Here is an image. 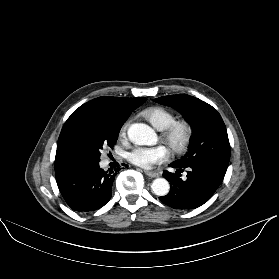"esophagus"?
<instances>
[{
    "label": "esophagus",
    "instance_id": "1",
    "mask_svg": "<svg viewBox=\"0 0 279 279\" xmlns=\"http://www.w3.org/2000/svg\"><path fill=\"white\" fill-rule=\"evenodd\" d=\"M145 174L151 178H157L160 176L159 173L154 171H145Z\"/></svg>",
    "mask_w": 279,
    "mask_h": 279
}]
</instances>
